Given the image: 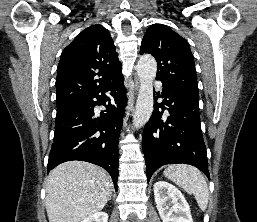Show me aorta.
Returning a JSON list of instances; mask_svg holds the SVG:
<instances>
[{"label": "aorta", "instance_id": "1", "mask_svg": "<svg viewBox=\"0 0 257 222\" xmlns=\"http://www.w3.org/2000/svg\"><path fill=\"white\" fill-rule=\"evenodd\" d=\"M140 88L133 116V125L140 128L145 125L153 111V81L156 76L157 63L153 56L142 55L136 66Z\"/></svg>", "mask_w": 257, "mask_h": 222}]
</instances>
